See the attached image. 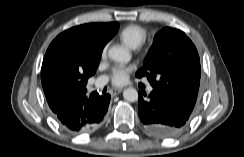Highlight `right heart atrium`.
I'll use <instances>...</instances> for the list:
<instances>
[{
  "label": "right heart atrium",
  "mask_w": 244,
  "mask_h": 157,
  "mask_svg": "<svg viewBox=\"0 0 244 157\" xmlns=\"http://www.w3.org/2000/svg\"><path fill=\"white\" fill-rule=\"evenodd\" d=\"M107 57V46H105L101 51V60H105Z\"/></svg>",
  "instance_id": "d8ad5b80"
}]
</instances>
